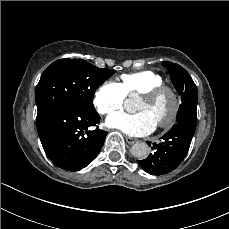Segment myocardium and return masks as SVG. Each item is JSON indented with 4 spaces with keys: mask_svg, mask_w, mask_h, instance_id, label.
I'll use <instances>...</instances> for the list:
<instances>
[{
    "mask_svg": "<svg viewBox=\"0 0 229 229\" xmlns=\"http://www.w3.org/2000/svg\"><path fill=\"white\" fill-rule=\"evenodd\" d=\"M165 93L171 96L174 103V109L171 116L166 121L156 123L161 129H169L178 121L182 109V99L180 95L173 87L165 84L151 88L141 95V98L155 101Z\"/></svg>",
    "mask_w": 229,
    "mask_h": 229,
    "instance_id": "myocardium-1",
    "label": "myocardium"
}]
</instances>
